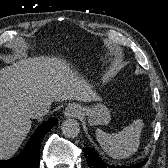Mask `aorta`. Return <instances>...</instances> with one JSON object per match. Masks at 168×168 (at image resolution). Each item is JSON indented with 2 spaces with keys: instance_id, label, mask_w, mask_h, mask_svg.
<instances>
[{
  "instance_id": "762f6f07",
  "label": "aorta",
  "mask_w": 168,
  "mask_h": 168,
  "mask_svg": "<svg viewBox=\"0 0 168 168\" xmlns=\"http://www.w3.org/2000/svg\"><path fill=\"white\" fill-rule=\"evenodd\" d=\"M62 133L68 138L76 137L80 132L79 123L74 119H66L62 123Z\"/></svg>"
}]
</instances>
